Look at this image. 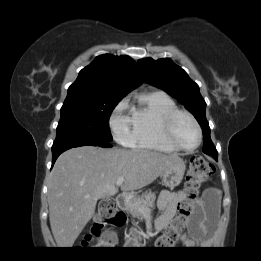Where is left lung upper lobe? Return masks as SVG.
I'll return each mask as SVG.
<instances>
[{
    "instance_id": "left-lung-upper-lobe-1",
    "label": "left lung upper lobe",
    "mask_w": 261,
    "mask_h": 261,
    "mask_svg": "<svg viewBox=\"0 0 261 261\" xmlns=\"http://www.w3.org/2000/svg\"><path fill=\"white\" fill-rule=\"evenodd\" d=\"M138 64L148 84L163 89L195 116L203 130V152L217 157V150L211 141L210 128L205 116L206 103L200 94L198 85L169 58L156 61L145 58L139 60Z\"/></svg>"
}]
</instances>
